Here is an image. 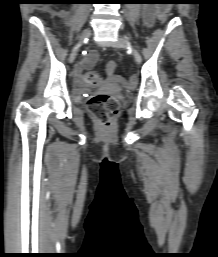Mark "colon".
<instances>
[{
    "mask_svg": "<svg viewBox=\"0 0 218 257\" xmlns=\"http://www.w3.org/2000/svg\"><path fill=\"white\" fill-rule=\"evenodd\" d=\"M173 2H162V5H158L157 16H160L159 24H166L167 16H171ZM160 28L163 26L160 25ZM83 84H88V87H94V90H103V80L105 84H110L113 75H117V69L114 62H109L104 67V74H96L95 70H83ZM137 83V77L131 76L129 79V85L134 86ZM119 101L115 96L107 93H97L93 95L88 101V108L90 112L101 121L105 126H109L111 120L118 114Z\"/></svg>",
    "mask_w": 218,
    "mask_h": 257,
    "instance_id": "obj_1",
    "label": "colon"
}]
</instances>
